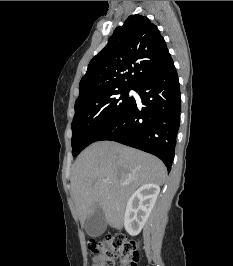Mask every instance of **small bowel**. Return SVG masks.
Listing matches in <instances>:
<instances>
[{
	"label": "small bowel",
	"mask_w": 233,
	"mask_h": 266,
	"mask_svg": "<svg viewBox=\"0 0 233 266\" xmlns=\"http://www.w3.org/2000/svg\"><path fill=\"white\" fill-rule=\"evenodd\" d=\"M93 262H94V264H96V258L93 259ZM94 266H96V265H94Z\"/></svg>",
	"instance_id": "1"
}]
</instances>
